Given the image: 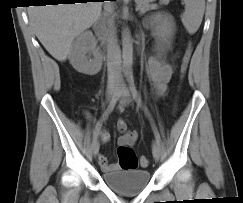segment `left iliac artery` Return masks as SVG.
<instances>
[{"mask_svg": "<svg viewBox=\"0 0 243 203\" xmlns=\"http://www.w3.org/2000/svg\"><path fill=\"white\" fill-rule=\"evenodd\" d=\"M129 83H130V90H131V93L133 95V98L135 99L137 104L141 106L142 105V100H141L140 96L138 95V92H137L136 87L134 85L132 76L129 77ZM144 110H145L146 114L150 117L148 110L146 108H144ZM151 123H152V127H153V131H154V135H155L156 141L159 144H161L160 135H159L154 123L152 122V119H151Z\"/></svg>", "mask_w": 243, "mask_h": 203, "instance_id": "left-iliac-artery-1", "label": "left iliac artery"}]
</instances>
